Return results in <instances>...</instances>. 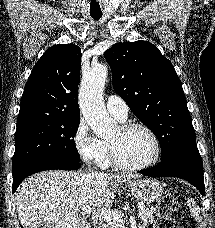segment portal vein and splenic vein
<instances>
[{
	"label": "portal vein and splenic vein",
	"mask_w": 215,
	"mask_h": 228,
	"mask_svg": "<svg viewBox=\"0 0 215 228\" xmlns=\"http://www.w3.org/2000/svg\"><path fill=\"white\" fill-rule=\"evenodd\" d=\"M138 208L139 210H145L144 204H138ZM83 214H87L89 218H95V216L101 214L102 220H106V222H120L121 220V216H119L118 212H111V210L96 212V210H92L91 206H85Z\"/></svg>",
	"instance_id": "18ae733b"
}]
</instances>
